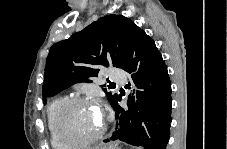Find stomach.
I'll return each mask as SVG.
<instances>
[{"label":"stomach","mask_w":227,"mask_h":149,"mask_svg":"<svg viewBox=\"0 0 227 149\" xmlns=\"http://www.w3.org/2000/svg\"><path fill=\"white\" fill-rule=\"evenodd\" d=\"M99 149H107V148H105V147H102V148H99Z\"/></svg>","instance_id":"0dacf381"}]
</instances>
